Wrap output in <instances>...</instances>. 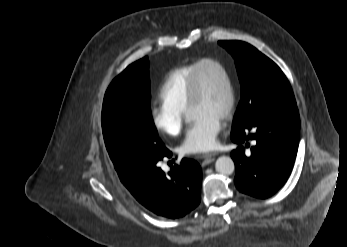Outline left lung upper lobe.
Segmentation results:
<instances>
[{
    "instance_id": "5c2ea615",
    "label": "left lung upper lobe",
    "mask_w": 347,
    "mask_h": 247,
    "mask_svg": "<svg viewBox=\"0 0 347 247\" xmlns=\"http://www.w3.org/2000/svg\"><path fill=\"white\" fill-rule=\"evenodd\" d=\"M219 44L233 56L241 84V100L232 130L245 127L269 109L296 106L286 76L272 60L245 42L219 41Z\"/></svg>"
}]
</instances>
